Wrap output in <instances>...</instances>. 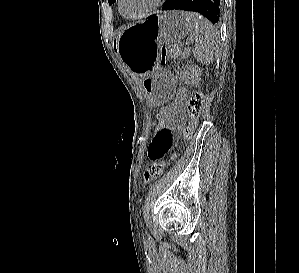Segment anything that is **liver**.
<instances>
[{
  "instance_id": "1",
  "label": "liver",
  "mask_w": 299,
  "mask_h": 273,
  "mask_svg": "<svg viewBox=\"0 0 299 273\" xmlns=\"http://www.w3.org/2000/svg\"><path fill=\"white\" fill-rule=\"evenodd\" d=\"M134 25H136V24L133 23V24H129V25H126V26L121 27V33H122L125 29H127V28H129V27H132V26H134ZM121 33L119 34V36L121 35Z\"/></svg>"
}]
</instances>
